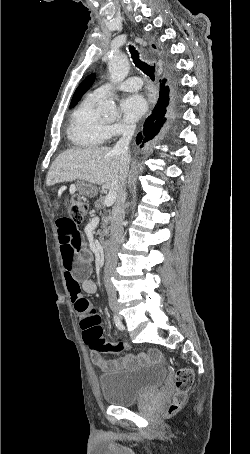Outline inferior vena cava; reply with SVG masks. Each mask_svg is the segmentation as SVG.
Here are the masks:
<instances>
[{"label": "inferior vena cava", "mask_w": 250, "mask_h": 454, "mask_svg": "<svg viewBox=\"0 0 250 454\" xmlns=\"http://www.w3.org/2000/svg\"><path fill=\"white\" fill-rule=\"evenodd\" d=\"M134 131L135 126L133 125L124 127L122 137L112 150L113 153L120 155L126 162H129L130 160L129 143ZM126 195L123 182L119 188L118 199L112 213L110 243L106 254V264L104 268V283L108 295V301L111 306L115 305L117 301L116 289L111 282V277L117 265V253L124 233L123 221L125 218Z\"/></svg>", "instance_id": "inferior-vena-cava-1"}]
</instances>
